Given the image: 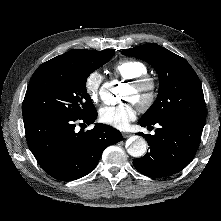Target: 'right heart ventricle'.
Returning a JSON list of instances; mask_svg holds the SVG:
<instances>
[{
    "label": "right heart ventricle",
    "instance_id": "e07e8e85",
    "mask_svg": "<svg viewBox=\"0 0 221 221\" xmlns=\"http://www.w3.org/2000/svg\"><path fill=\"white\" fill-rule=\"evenodd\" d=\"M115 76L124 79L132 80L147 74V66L138 60L122 59L116 62L113 66Z\"/></svg>",
    "mask_w": 221,
    "mask_h": 221
}]
</instances>
